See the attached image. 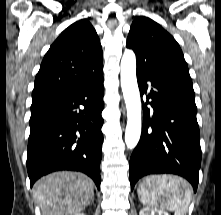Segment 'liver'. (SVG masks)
<instances>
[{"label": "liver", "mask_w": 221, "mask_h": 215, "mask_svg": "<svg viewBox=\"0 0 221 215\" xmlns=\"http://www.w3.org/2000/svg\"><path fill=\"white\" fill-rule=\"evenodd\" d=\"M33 194L42 215H76L93 200L94 184L83 173L60 171L39 179Z\"/></svg>", "instance_id": "obj_1"}]
</instances>
